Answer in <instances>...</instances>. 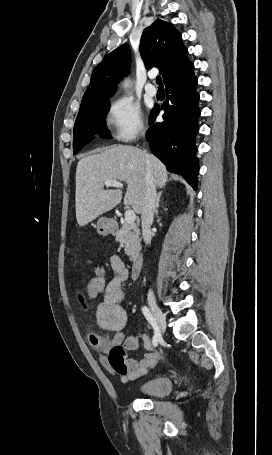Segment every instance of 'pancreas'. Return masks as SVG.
Instances as JSON below:
<instances>
[{
  "mask_svg": "<svg viewBox=\"0 0 272 455\" xmlns=\"http://www.w3.org/2000/svg\"><path fill=\"white\" fill-rule=\"evenodd\" d=\"M140 231L134 224L124 223L121 229L116 233V241L124 244L125 253L131 261H136L141 250Z\"/></svg>",
  "mask_w": 272,
  "mask_h": 455,
  "instance_id": "pancreas-1",
  "label": "pancreas"
}]
</instances>
